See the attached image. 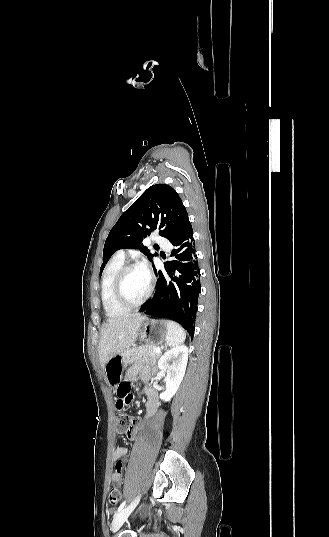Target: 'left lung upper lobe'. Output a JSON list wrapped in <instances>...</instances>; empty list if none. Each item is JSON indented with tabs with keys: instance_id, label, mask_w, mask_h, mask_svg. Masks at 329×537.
<instances>
[{
	"instance_id": "5c2ea615",
	"label": "left lung upper lobe",
	"mask_w": 329,
	"mask_h": 537,
	"mask_svg": "<svg viewBox=\"0 0 329 537\" xmlns=\"http://www.w3.org/2000/svg\"><path fill=\"white\" fill-rule=\"evenodd\" d=\"M187 211L178 193L166 184L149 187L135 203L125 211L111 229L104 245L100 275L119 249H140L151 261L153 255L141 243L154 230L170 242L188 223Z\"/></svg>"
}]
</instances>
